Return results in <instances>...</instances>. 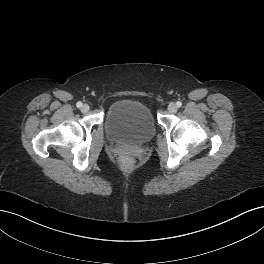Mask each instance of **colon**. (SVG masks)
Wrapping results in <instances>:
<instances>
[{
  "mask_svg": "<svg viewBox=\"0 0 264 264\" xmlns=\"http://www.w3.org/2000/svg\"><path fill=\"white\" fill-rule=\"evenodd\" d=\"M122 165H123V167H125V168H129V167L131 166V162H130V160H129L128 158H124V159L122 160Z\"/></svg>",
  "mask_w": 264,
  "mask_h": 264,
  "instance_id": "obj_1",
  "label": "colon"
}]
</instances>
